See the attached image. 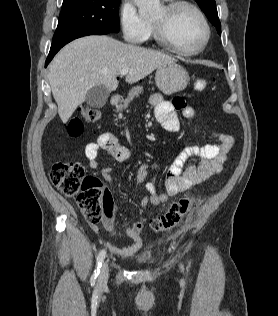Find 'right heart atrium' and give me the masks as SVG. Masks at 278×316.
Masks as SVG:
<instances>
[{
	"mask_svg": "<svg viewBox=\"0 0 278 316\" xmlns=\"http://www.w3.org/2000/svg\"><path fill=\"white\" fill-rule=\"evenodd\" d=\"M118 19L123 38L130 43L142 42L148 31V21L142 18L132 0H121Z\"/></svg>",
	"mask_w": 278,
	"mask_h": 316,
	"instance_id": "right-heart-atrium-1",
	"label": "right heart atrium"
}]
</instances>
